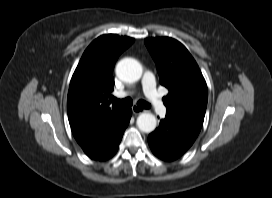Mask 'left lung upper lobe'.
I'll use <instances>...</instances> for the list:
<instances>
[{
	"label": "left lung upper lobe",
	"instance_id": "left-lung-upper-lobe-1",
	"mask_svg": "<svg viewBox=\"0 0 272 198\" xmlns=\"http://www.w3.org/2000/svg\"><path fill=\"white\" fill-rule=\"evenodd\" d=\"M159 73L169 89L163 97L167 113L203 124L208 90L204 77L189 51L169 37L144 40Z\"/></svg>",
	"mask_w": 272,
	"mask_h": 198
}]
</instances>
